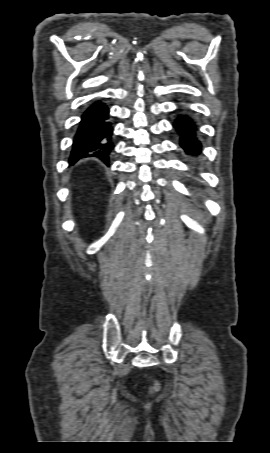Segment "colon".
I'll return each instance as SVG.
<instances>
[{"label": "colon", "instance_id": "obj_1", "mask_svg": "<svg viewBox=\"0 0 270 453\" xmlns=\"http://www.w3.org/2000/svg\"><path fill=\"white\" fill-rule=\"evenodd\" d=\"M158 388V384H154V389H157Z\"/></svg>", "mask_w": 270, "mask_h": 453}]
</instances>
